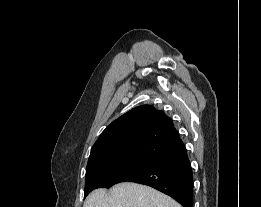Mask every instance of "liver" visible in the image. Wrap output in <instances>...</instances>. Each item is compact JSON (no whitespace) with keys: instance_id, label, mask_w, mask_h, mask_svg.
<instances>
[{"instance_id":"obj_1","label":"liver","mask_w":261,"mask_h":207,"mask_svg":"<svg viewBox=\"0 0 261 207\" xmlns=\"http://www.w3.org/2000/svg\"><path fill=\"white\" fill-rule=\"evenodd\" d=\"M84 207H182L169 196L142 184L123 182L106 189L92 191Z\"/></svg>"}]
</instances>
